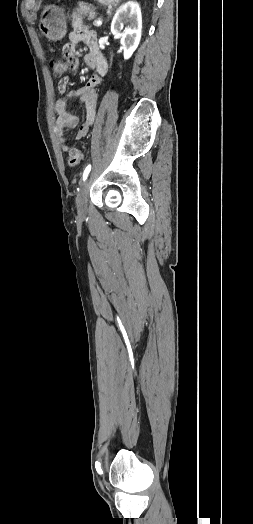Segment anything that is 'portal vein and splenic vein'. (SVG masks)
Wrapping results in <instances>:
<instances>
[{"mask_svg":"<svg viewBox=\"0 0 253 524\" xmlns=\"http://www.w3.org/2000/svg\"><path fill=\"white\" fill-rule=\"evenodd\" d=\"M94 25H95V26H101V25H102V21H101V20H96V21L94 22Z\"/></svg>","mask_w":253,"mask_h":524,"instance_id":"obj_1","label":"portal vein and splenic vein"}]
</instances>
